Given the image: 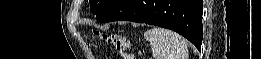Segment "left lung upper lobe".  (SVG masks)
<instances>
[{"label":"left lung upper lobe","instance_id":"left-lung-upper-lobe-1","mask_svg":"<svg viewBox=\"0 0 261 59\" xmlns=\"http://www.w3.org/2000/svg\"><path fill=\"white\" fill-rule=\"evenodd\" d=\"M119 1L120 0H90V10L98 19L114 7Z\"/></svg>","mask_w":261,"mask_h":59}]
</instances>
